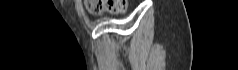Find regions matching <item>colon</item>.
<instances>
[{"label": "colon", "instance_id": "colon-1", "mask_svg": "<svg viewBox=\"0 0 238 70\" xmlns=\"http://www.w3.org/2000/svg\"><path fill=\"white\" fill-rule=\"evenodd\" d=\"M87 9L93 14L108 12L119 14L126 10L127 2L125 0H87Z\"/></svg>", "mask_w": 238, "mask_h": 70}]
</instances>
